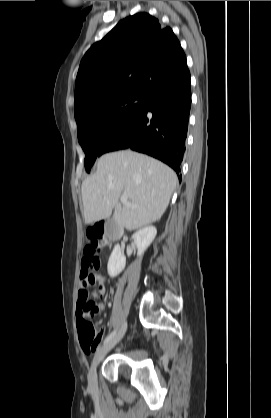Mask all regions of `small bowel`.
<instances>
[{"label": "small bowel", "mask_w": 271, "mask_h": 418, "mask_svg": "<svg viewBox=\"0 0 271 418\" xmlns=\"http://www.w3.org/2000/svg\"><path fill=\"white\" fill-rule=\"evenodd\" d=\"M98 267H99V262H98ZM93 269L95 268L90 265L89 260H87L86 258H83L81 262L80 289L78 293V303H77V317H78V320L81 317V321L83 323H90L92 321V316L90 314H97V312L102 308V305L97 304L96 299H89L87 292H86V286L93 283L94 281L99 282L98 289L94 291L92 294L94 298H102L105 292L104 278L100 275H93L90 272ZM110 296H112V292H110ZM81 314L83 315L81 316ZM96 348L91 351L84 350V352L86 354H90V353H93L96 350Z\"/></svg>", "instance_id": "c3829d8e"}]
</instances>
